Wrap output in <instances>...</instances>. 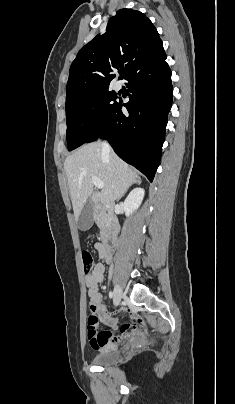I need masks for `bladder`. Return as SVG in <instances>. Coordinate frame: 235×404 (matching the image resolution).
<instances>
[{
    "mask_svg": "<svg viewBox=\"0 0 235 404\" xmlns=\"http://www.w3.org/2000/svg\"><path fill=\"white\" fill-rule=\"evenodd\" d=\"M121 352L117 349L102 350L96 354L92 360L98 366H110L119 361Z\"/></svg>",
    "mask_w": 235,
    "mask_h": 404,
    "instance_id": "bladder-1",
    "label": "bladder"
}]
</instances>
